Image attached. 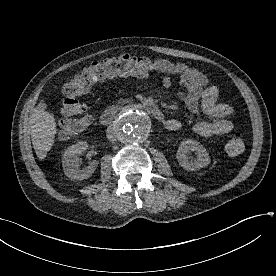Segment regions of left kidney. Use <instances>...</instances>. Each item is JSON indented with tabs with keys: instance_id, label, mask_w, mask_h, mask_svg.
<instances>
[{
	"instance_id": "obj_1",
	"label": "left kidney",
	"mask_w": 276,
	"mask_h": 276,
	"mask_svg": "<svg viewBox=\"0 0 276 276\" xmlns=\"http://www.w3.org/2000/svg\"><path fill=\"white\" fill-rule=\"evenodd\" d=\"M191 152H195L197 159L189 156ZM176 158L180 166L188 171L201 169L210 163V157L206 149L199 142L192 139L183 140L180 143Z\"/></svg>"
}]
</instances>
